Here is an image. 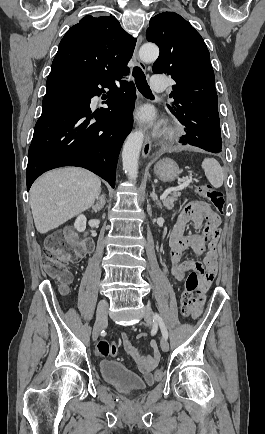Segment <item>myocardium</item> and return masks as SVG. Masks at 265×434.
<instances>
[{
  "label": "myocardium",
  "mask_w": 265,
  "mask_h": 434,
  "mask_svg": "<svg viewBox=\"0 0 265 434\" xmlns=\"http://www.w3.org/2000/svg\"><path fill=\"white\" fill-rule=\"evenodd\" d=\"M174 134H175V131L174 130H168L166 133H165V137H164V140L165 141H168V140H171L173 137H174Z\"/></svg>",
  "instance_id": "myocardium-1"
}]
</instances>
